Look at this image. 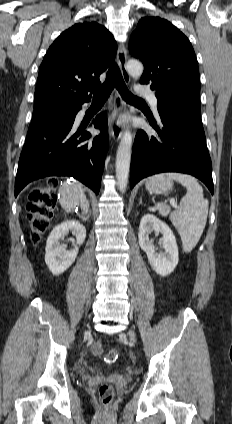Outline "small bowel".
<instances>
[{"label":"small bowel","instance_id":"small-bowel-1","mask_svg":"<svg viewBox=\"0 0 232 424\" xmlns=\"http://www.w3.org/2000/svg\"><path fill=\"white\" fill-rule=\"evenodd\" d=\"M92 351L94 354H99L101 352V346L100 343H95L92 347Z\"/></svg>","mask_w":232,"mask_h":424}]
</instances>
